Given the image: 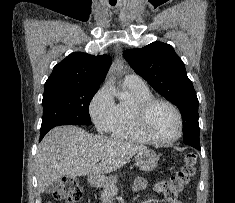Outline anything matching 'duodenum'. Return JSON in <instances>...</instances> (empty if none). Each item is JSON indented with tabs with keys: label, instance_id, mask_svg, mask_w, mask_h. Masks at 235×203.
<instances>
[{
	"label": "duodenum",
	"instance_id": "duodenum-1",
	"mask_svg": "<svg viewBox=\"0 0 235 203\" xmlns=\"http://www.w3.org/2000/svg\"><path fill=\"white\" fill-rule=\"evenodd\" d=\"M90 182H91V183H95V179H94V178H91V179H90Z\"/></svg>",
	"mask_w": 235,
	"mask_h": 203
}]
</instances>
